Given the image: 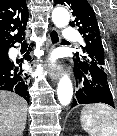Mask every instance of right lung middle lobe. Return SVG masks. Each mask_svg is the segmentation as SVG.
I'll return each instance as SVG.
<instances>
[{
    "label": "right lung middle lobe",
    "instance_id": "1",
    "mask_svg": "<svg viewBox=\"0 0 117 136\" xmlns=\"http://www.w3.org/2000/svg\"><path fill=\"white\" fill-rule=\"evenodd\" d=\"M5 55H6V53L0 54V57L5 56Z\"/></svg>",
    "mask_w": 117,
    "mask_h": 136
}]
</instances>
